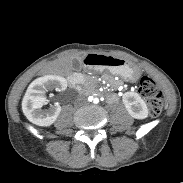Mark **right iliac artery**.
<instances>
[{
  "label": "right iliac artery",
  "instance_id": "82829eb1",
  "mask_svg": "<svg viewBox=\"0 0 183 183\" xmlns=\"http://www.w3.org/2000/svg\"><path fill=\"white\" fill-rule=\"evenodd\" d=\"M88 101H90V102L93 101V97L92 96H89L88 97Z\"/></svg>",
  "mask_w": 183,
  "mask_h": 183
}]
</instances>
